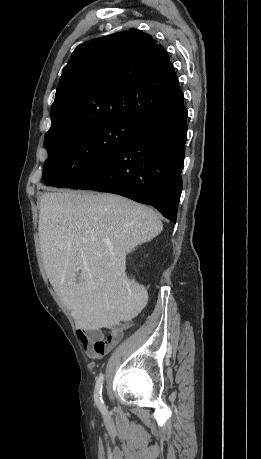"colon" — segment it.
I'll return each instance as SVG.
<instances>
[{
	"mask_svg": "<svg viewBox=\"0 0 261 459\" xmlns=\"http://www.w3.org/2000/svg\"><path fill=\"white\" fill-rule=\"evenodd\" d=\"M124 327H125V323H123V322H117V323H113V324L110 325V328L113 331L122 330Z\"/></svg>",
	"mask_w": 261,
	"mask_h": 459,
	"instance_id": "obj_1",
	"label": "colon"
}]
</instances>
